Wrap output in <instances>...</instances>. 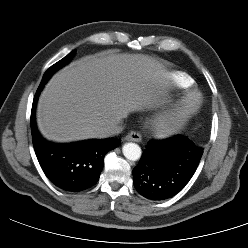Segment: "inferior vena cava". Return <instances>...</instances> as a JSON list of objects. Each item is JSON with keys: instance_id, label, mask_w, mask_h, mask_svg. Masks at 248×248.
Wrapping results in <instances>:
<instances>
[{"instance_id": "obj_1", "label": "inferior vena cava", "mask_w": 248, "mask_h": 248, "mask_svg": "<svg viewBox=\"0 0 248 248\" xmlns=\"http://www.w3.org/2000/svg\"><path fill=\"white\" fill-rule=\"evenodd\" d=\"M122 130L123 126L119 123L112 124L106 129V137L119 134Z\"/></svg>"}]
</instances>
